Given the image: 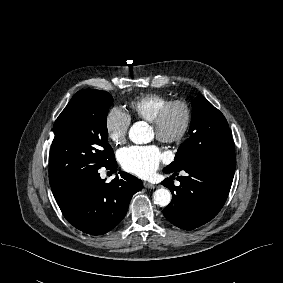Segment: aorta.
I'll return each mask as SVG.
<instances>
[{
    "label": "aorta",
    "mask_w": 283,
    "mask_h": 283,
    "mask_svg": "<svg viewBox=\"0 0 283 283\" xmlns=\"http://www.w3.org/2000/svg\"><path fill=\"white\" fill-rule=\"evenodd\" d=\"M129 138L136 144L147 143L151 140L149 126L145 122H136L129 130ZM154 203L165 207L171 201V193L166 188L157 189L153 194Z\"/></svg>",
    "instance_id": "1"
}]
</instances>
